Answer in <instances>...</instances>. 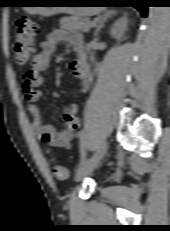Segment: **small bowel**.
Returning <instances> with one entry per match:
<instances>
[{
  "mask_svg": "<svg viewBox=\"0 0 170 231\" xmlns=\"http://www.w3.org/2000/svg\"><path fill=\"white\" fill-rule=\"evenodd\" d=\"M61 43L70 44L77 52L78 57L70 62L69 68L72 76L80 81L81 92L85 93L89 90L92 76L86 63L82 37L73 31L54 29L42 43L41 51L33 57L32 68L30 69L32 77L25 79L23 92L27 102V109L33 117L31 123L33 133L43 142L54 147L68 148L73 141L76 129L79 127L78 105L72 104L64 109L62 114L64 129L60 131L51 125L43 123L41 112L37 105L41 96V92L37 90V87L43 81L41 74L48 69L52 55Z\"/></svg>",
  "mask_w": 170,
  "mask_h": 231,
  "instance_id": "c3829d8e",
  "label": "small bowel"
}]
</instances>
